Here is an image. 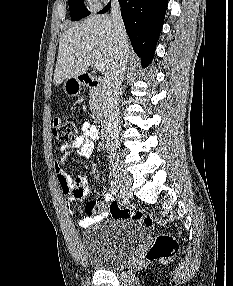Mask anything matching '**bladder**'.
<instances>
[{
  "label": "bladder",
  "mask_w": 233,
  "mask_h": 286,
  "mask_svg": "<svg viewBox=\"0 0 233 286\" xmlns=\"http://www.w3.org/2000/svg\"><path fill=\"white\" fill-rule=\"evenodd\" d=\"M145 232L141 221L129 218L99 226L81 238L83 258L95 269H119L132 259Z\"/></svg>",
  "instance_id": "bladder-1"
}]
</instances>
